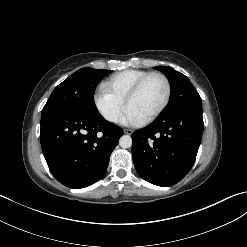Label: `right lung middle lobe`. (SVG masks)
<instances>
[{
	"label": "right lung middle lobe",
	"mask_w": 247,
	"mask_h": 247,
	"mask_svg": "<svg viewBox=\"0 0 247 247\" xmlns=\"http://www.w3.org/2000/svg\"><path fill=\"white\" fill-rule=\"evenodd\" d=\"M111 72L90 67L79 69L54 89L42 111L65 107L86 113L98 112L94 91L99 81Z\"/></svg>",
	"instance_id": "right-lung-middle-lobe-1"
}]
</instances>
